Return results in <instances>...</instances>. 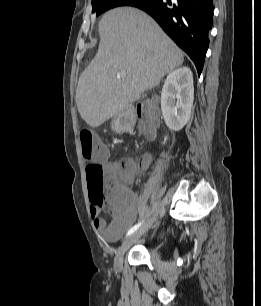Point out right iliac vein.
<instances>
[{"instance_id":"right-iliac-vein-1","label":"right iliac vein","mask_w":261,"mask_h":306,"mask_svg":"<svg viewBox=\"0 0 261 306\" xmlns=\"http://www.w3.org/2000/svg\"><path fill=\"white\" fill-rule=\"evenodd\" d=\"M155 217H153L149 222L143 225L141 228L136 230L134 233L129 235L121 244V246L117 249L114 258V268L116 270H120L123 264V257L125 252L130 248V246L135 243L152 225Z\"/></svg>"}]
</instances>
